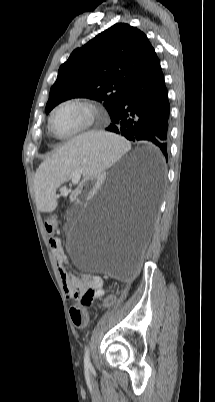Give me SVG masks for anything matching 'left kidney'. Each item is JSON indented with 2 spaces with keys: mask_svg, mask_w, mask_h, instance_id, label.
<instances>
[{
  "mask_svg": "<svg viewBox=\"0 0 215 402\" xmlns=\"http://www.w3.org/2000/svg\"><path fill=\"white\" fill-rule=\"evenodd\" d=\"M104 178V170L99 169L95 175H86L84 184L77 185L76 190L79 193H95L97 191V187H100L101 181H103Z\"/></svg>",
  "mask_w": 215,
  "mask_h": 402,
  "instance_id": "5707ae66",
  "label": "left kidney"
}]
</instances>
